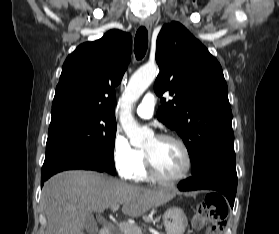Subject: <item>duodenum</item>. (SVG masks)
<instances>
[{"label":"duodenum","mask_w":279,"mask_h":234,"mask_svg":"<svg viewBox=\"0 0 279 234\" xmlns=\"http://www.w3.org/2000/svg\"><path fill=\"white\" fill-rule=\"evenodd\" d=\"M99 234H113V227L111 225H106L100 230Z\"/></svg>","instance_id":"410a0bca"}]
</instances>
